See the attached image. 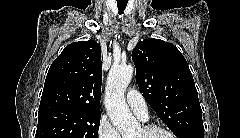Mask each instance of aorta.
Returning a JSON list of instances; mask_svg holds the SVG:
<instances>
[{"mask_svg":"<svg viewBox=\"0 0 240 138\" xmlns=\"http://www.w3.org/2000/svg\"><path fill=\"white\" fill-rule=\"evenodd\" d=\"M132 75V65H114L111 67L106 83L105 106L107 114L123 138H132L138 128V122L132 116L124 97Z\"/></svg>","mask_w":240,"mask_h":138,"instance_id":"aorta-1","label":"aorta"}]
</instances>
